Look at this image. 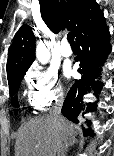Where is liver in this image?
I'll list each match as a JSON object with an SVG mask.
<instances>
[{
    "mask_svg": "<svg viewBox=\"0 0 114 156\" xmlns=\"http://www.w3.org/2000/svg\"><path fill=\"white\" fill-rule=\"evenodd\" d=\"M76 133V126L61 117L45 115L30 119L18 131L15 156H58L62 144Z\"/></svg>",
    "mask_w": 114,
    "mask_h": 156,
    "instance_id": "obj_1",
    "label": "liver"
}]
</instances>
